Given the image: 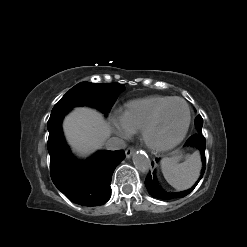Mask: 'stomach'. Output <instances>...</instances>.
Segmentation results:
<instances>
[{
	"label": "stomach",
	"instance_id": "stomach-1",
	"mask_svg": "<svg viewBox=\"0 0 247 247\" xmlns=\"http://www.w3.org/2000/svg\"><path fill=\"white\" fill-rule=\"evenodd\" d=\"M174 157H176L178 160H180L181 157H182L181 152H180L179 150H176V151L174 152Z\"/></svg>",
	"mask_w": 247,
	"mask_h": 247
}]
</instances>
